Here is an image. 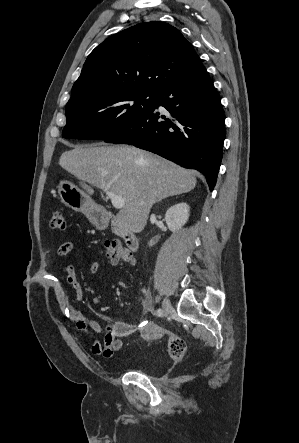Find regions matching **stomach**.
Wrapping results in <instances>:
<instances>
[{
    "label": "stomach",
    "instance_id": "obj_1",
    "mask_svg": "<svg viewBox=\"0 0 299 443\" xmlns=\"http://www.w3.org/2000/svg\"><path fill=\"white\" fill-rule=\"evenodd\" d=\"M58 194L62 202L75 211L84 213L97 227L103 228L106 222L96 215V206L91 198L80 188L69 181H61Z\"/></svg>",
    "mask_w": 299,
    "mask_h": 443
}]
</instances>
